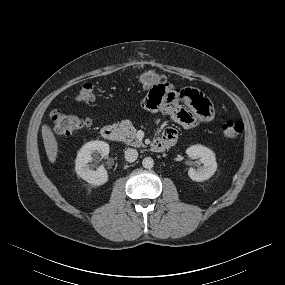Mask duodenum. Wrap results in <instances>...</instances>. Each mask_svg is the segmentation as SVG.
<instances>
[{"label": "duodenum", "instance_id": "410a0bca", "mask_svg": "<svg viewBox=\"0 0 285 285\" xmlns=\"http://www.w3.org/2000/svg\"><path fill=\"white\" fill-rule=\"evenodd\" d=\"M101 136L107 141H117L119 137L118 128L114 125H105L100 130ZM171 144L161 138L154 140L151 149L154 152H164Z\"/></svg>", "mask_w": 285, "mask_h": 285}]
</instances>
